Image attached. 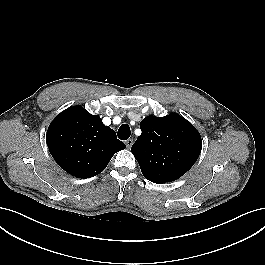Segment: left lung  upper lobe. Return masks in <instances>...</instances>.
I'll use <instances>...</instances> for the list:
<instances>
[{
	"mask_svg": "<svg viewBox=\"0 0 265 265\" xmlns=\"http://www.w3.org/2000/svg\"><path fill=\"white\" fill-rule=\"evenodd\" d=\"M140 128L142 133L131 151L146 179L157 184L174 181L197 161L201 136L179 114L147 116L140 122Z\"/></svg>",
	"mask_w": 265,
	"mask_h": 265,
	"instance_id": "1",
	"label": "left lung upper lobe"
}]
</instances>
